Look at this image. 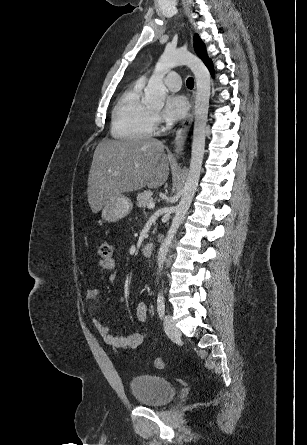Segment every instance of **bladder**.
Returning a JSON list of instances; mask_svg holds the SVG:
<instances>
[{
    "label": "bladder",
    "mask_w": 307,
    "mask_h": 445,
    "mask_svg": "<svg viewBox=\"0 0 307 445\" xmlns=\"http://www.w3.org/2000/svg\"><path fill=\"white\" fill-rule=\"evenodd\" d=\"M130 390L135 401L144 406L158 408L169 403L176 388L169 380L152 374H142L130 381Z\"/></svg>",
    "instance_id": "1"
}]
</instances>
